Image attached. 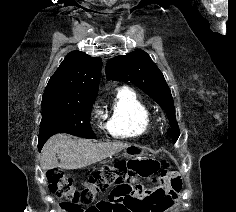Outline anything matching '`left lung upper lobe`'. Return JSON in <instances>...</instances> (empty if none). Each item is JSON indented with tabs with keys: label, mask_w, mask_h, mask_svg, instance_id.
<instances>
[{
	"label": "left lung upper lobe",
	"mask_w": 236,
	"mask_h": 212,
	"mask_svg": "<svg viewBox=\"0 0 236 212\" xmlns=\"http://www.w3.org/2000/svg\"><path fill=\"white\" fill-rule=\"evenodd\" d=\"M106 76L107 79L132 82L164 108L171 126L168 135L174 141L177 140L179 128L170 89L163 73L145 51H134L112 58L106 65Z\"/></svg>",
	"instance_id": "5c2ea615"
}]
</instances>
